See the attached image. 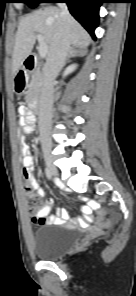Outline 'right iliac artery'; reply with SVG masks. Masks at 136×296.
<instances>
[{
    "label": "right iliac artery",
    "mask_w": 136,
    "mask_h": 296,
    "mask_svg": "<svg viewBox=\"0 0 136 296\" xmlns=\"http://www.w3.org/2000/svg\"><path fill=\"white\" fill-rule=\"evenodd\" d=\"M45 173H46V176L48 177V179H50L51 178V173H50L48 168L45 169Z\"/></svg>",
    "instance_id": "right-iliac-artery-1"
}]
</instances>
